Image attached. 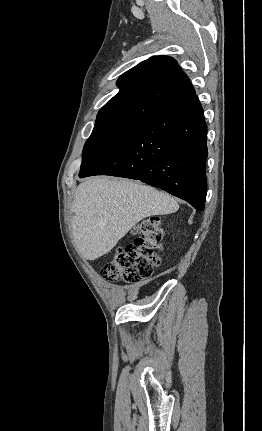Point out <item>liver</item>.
<instances>
[{
  "label": "liver",
  "mask_w": 262,
  "mask_h": 431,
  "mask_svg": "<svg viewBox=\"0 0 262 431\" xmlns=\"http://www.w3.org/2000/svg\"><path fill=\"white\" fill-rule=\"evenodd\" d=\"M178 209L172 196L150 186L127 179H88L77 187L72 203L75 249L84 259L95 260L142 219Z\"/></svg>",
  "instance_id": "1"
}]
</instances>
